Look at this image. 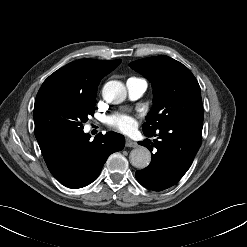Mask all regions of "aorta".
Here are the masks:
<instances>
[{"instance_id": "762f6f07", "label": "aorta", "mask_w": 247, "mask_h": 247, "mask_svg": "<svg viewBox=\"0 0 247 247\" xmlns=\"http://www.w3.org/2000/svg\"><path fill=\"white\" fill-rule=\"evenodd\" d=\"M102 94L108 103L119 104L126 99L127 91L123 83L114 80L104 85ZM129 160L134 167L144 169L151 162V153L146 147L140 146L130 152Z\"/></svg>"}]
</instances>
